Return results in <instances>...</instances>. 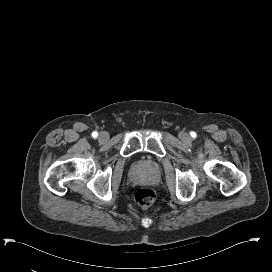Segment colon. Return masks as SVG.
<instances>
[{"mask_svg":"<svg viewBox=\"0 0 272 272\" xmlns=\"http://www.w3.org/2000/svg\"><path fill=\"white\" fill-rule=\"evenodd\" d=\"M155 199V191L150 187L139 188L134 194L135 203L142 208L151 206L155 202Z\"/></svg>","mask_w":272,"mask_h":272,"instance_id":"5ec220e1","label":"colon"}]
</instances>
